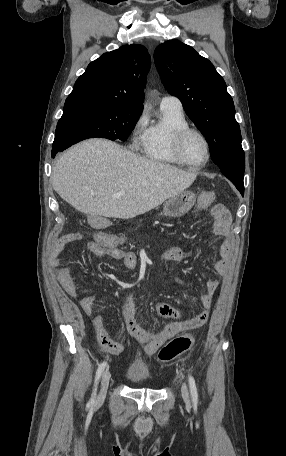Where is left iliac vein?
I'll list each match as a JSON object with an SVG mask.
<instances>
[{"label": "left iliac vein", "mask_w": 286, "mask_h": 456, "mask_svg": "<svg viewBox=\"0 0 286 456\" xmlns=\"http://www.w3.org/2000/svg\"><path fill=\"white\" fill-rule=\"evenodd\" d=\"M181 393H182V397H183V400H184L186 406L189 407L191 405V402H190L189 391H188L186 383H182Z\"/></svg>", "instance_id": "1"}]
</instances>
